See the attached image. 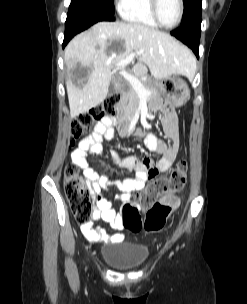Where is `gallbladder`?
<instances>
[{
  "mask_svg": "<svg viewBox=\"0 0 247 304\" xmlns=\"http://www.w3.org/2000/svg\"><path fill=\"white\" fill-rule=\"evenodd\" d=\"M110 90H113V87H112V86L110 87Z\"/></svg>",
  "mask_w": 247,
  "mask_h": 304,
  "instance_id": "obj_1",
  "label": "gallbladder"
}]
</instances>
